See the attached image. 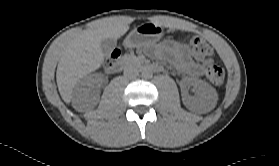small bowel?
<instances>
[{
	"label": "small bowel",
	"instance_id": "small-bowel-1",
	"mask_svg": "<svg viewBox=\"0 0 279 166\" xmlns=\"http://www.w3.org/2000/svg\"><path fill=\"white\" fill-rule=\"evenodd\" d=\"M155 54L169 60L180 73L192 76L202 75L205 66L211 63V60L195 63L191 59L187 47L174 40L159 45Z\"/></svg>",
	"mask_w": 279,
	"mask_h": 166
}]
</instances>
